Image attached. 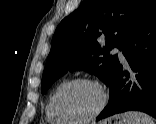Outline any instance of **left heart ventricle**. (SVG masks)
<instances>
[{
	"mask_svg": "<svg viewBox=\"0 0 156 124\" xmlns=\"http://www.w3.org/2000/svg\"><path fill=\"white\" fill-rule=\"evenodd\" d=\"M101 103L99 90L89 84H79L68 88L60 98L62 111L75 118L91 115Z\"/></svg>",
	"mask_w": 156,
	"mask_h": 124,
	"instance_id": "left-heart-ventricle-1",
	"label": "left heart ventricle"
}]
</instances>
